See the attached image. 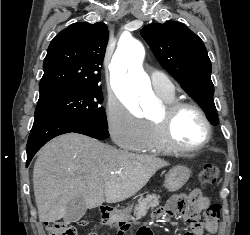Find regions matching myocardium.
I'll use <instances>...</instances> for the list:
<instances>
[{
    "label": "myocardium",
    "instance_id": "f54148a6",
    "mask_svg": "<svg viewBox=\"0 0 250 235\" xmlns=\"http://www.w3.org/2000/svg\"><path fill=\"white\" fill-rule=\"evenodd\" d=\"M186 109H190L198 113L205 126V137L199 144L193 147L178 144L172 133L175 118L180 112ZM152 122L157 126L163 143L171 149V151L179 153H192L202 150L209 143L212 136V126L209 117L200 105L191 101H173L165 104L162 116Z\"/></svg>",
    "mask_w": 250,
    "mask_h": 235
}]
</instances>
